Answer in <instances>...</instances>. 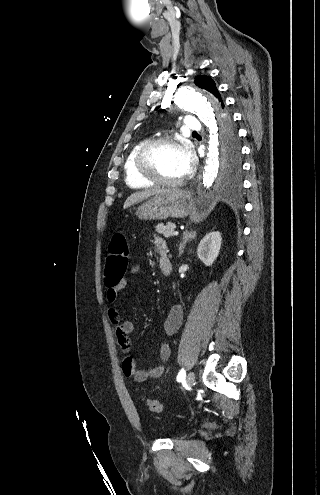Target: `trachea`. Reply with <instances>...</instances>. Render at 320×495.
I'll return each mask as SVG.
<instances>
[{
	"mask_svg": "<svg viewBox=\"0 0 320 495\" xmlns=\"http://www.w3.org/2000/svg\"><path fill=\"white\" fill-rule=\"evenodd\" d=\"M193 134H197V132H193Z\"/></svg>",
	"mask_w": 320,
	"mask_h": 495,
	"instance_id": "obj_1",
	"label": "trachea"
}]
</instances>
